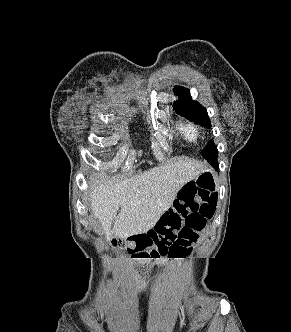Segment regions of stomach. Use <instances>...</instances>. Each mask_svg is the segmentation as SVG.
I'll return each instance as SVG.
<instances>
[{
    "mask_svg": "<svg viewBox=\"0 0 291 332\" xmlns=\"http://www.w3.org/2000/svg\"><path fill=\"white\" fill-rule=\"evenodd\" d=\"M194 183L199 189L214 192L218 189L217 176L211 169H205L195 179Z\"/></svg>",
    "mask_w": 291,
    "mask_h": 332,
    "instance_id": "obj_1",
    "label": "stomach"
}]
</instances>
